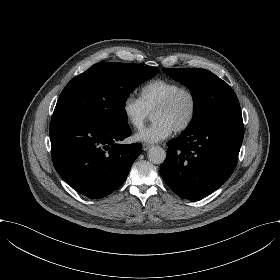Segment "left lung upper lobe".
Wrapping results in <instances>:
<instances>
[{
  "label": "left lung upper lobe",
  "mask_w": 280,
  "mask_h": 280,
  "mask_svg": "<svg viewBox=\"0 0 280 280\" xmlns=\"http://www.w3.org/2000/svg\"><path fill=\"white\" fill-rule=\"evenodd\" d=\"M162 70L174 80L187 86L193 96V117L185 130L206 120L241 111L232 88L212 72L193 68H163Z\"/></svg>",
  "instance_id": "5c2ea615"
}]
</instances>
